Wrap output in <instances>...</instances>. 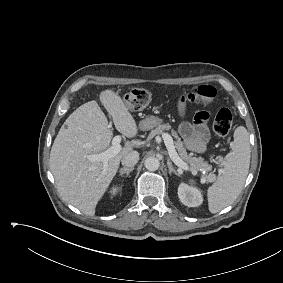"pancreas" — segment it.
<instances>
[{
    "instance_id": "1",
    "label": "pancreas",
    "mask_w": 283,
    "mask_h": 283,
    "mask_svg": "<svg viewBox=\"0 0 283 283\" xmlns=\"http://www.w3.org/2000/svg\"><path fill=\"white\" fill-rule=\"evenodd\" d=\"M171 129L170 125L162 124L156 127L154 130L151 131L150 137L155 135L163 134L164 131H168ZM171 135L175 139V148L182 160H184L190 166V170L193 172L200 171L205 172V175H202L201 181L203 183H209L213 180L212 174H208L211 171V166L204 161L202 157H194L193 154H188L186 148L184 147L181 138L178 136V133L174 130H171Z\"/></svg>"
}]
</instances>
